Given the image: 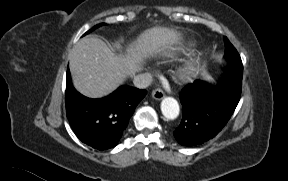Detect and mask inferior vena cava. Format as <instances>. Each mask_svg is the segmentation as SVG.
Here are the masks:
<instances>
[{
    "label": "inferior vena cava",
    "instance_id": "inferior-vena-cava-1",
    "mask_svg": "<svg viewBox=\"0 0 288 181\" xmlns=\"http://www.w3.org/2000/svg\"><path fill=\"white\" fill-rule=\"evenodd\" d=\"M134 85L139 89H145L152 83V76L149 73L138 74L134 77Z\"/></svg>",
    "mask_w": 288,
    "mask_h": 181
}]
</instances>
